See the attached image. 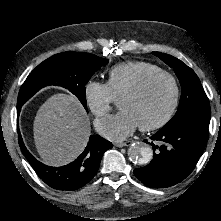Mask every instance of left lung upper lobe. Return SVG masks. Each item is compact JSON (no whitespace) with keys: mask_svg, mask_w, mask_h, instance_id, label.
<instances>
[{"mask_svg":"<svg viewBox=\"0 0 221 221\" xmlns=\"http://www.w3.org/2000/svg\"><path fill=\"white\" fill-rule=\"evenodd\" d=\"M153 54L174 68L182 87L178 110L161 131H171L188 123L209 126L211 118L209 100L195 72L173 56L160 52Z\"/></svg>","mask_w":221,"mask_h":221,"instance_id":"5c2ea615","label":"left lung upper lobe"}]
</instances>
